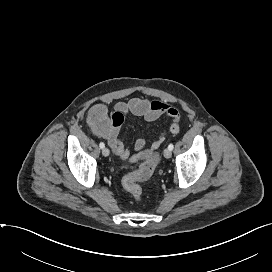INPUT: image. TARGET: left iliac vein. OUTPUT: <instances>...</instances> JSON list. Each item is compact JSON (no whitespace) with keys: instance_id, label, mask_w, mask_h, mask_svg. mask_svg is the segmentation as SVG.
Returning a JSON list of instances; mask_svg holds the SVG:
<instances>
[{"instance_id":"4c4485c4","label":"left iliac vein","mask_w":272,"mask_h":272,"mask_svg":"<svg viewBox=\"0 0 272 272\" xmlns=\"http://www.w3.org/2000/svg\"><path fill=\"white\" fill-rule=\"evenodd\" d=\"M163 154H164V157H165V158H170L171 155H172L171 150H170L169 148H166V149L164 150Z\"/></svg>"}]
</instances>
